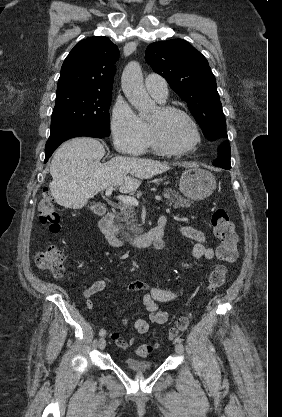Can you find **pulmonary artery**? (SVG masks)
Listing matches in <instances>:
<instances>
[{
    "label": "pulmonary artery",
    "instance_id": "obj_1",
    "mask_svg": "<svg viewBox=\"0 0 282 417\" xmlns=\"http://www.w3.org/2000/svg\"><path fill=\"white\" fill-rule=\"evenodd\" d=\"M147 91L158 101L163 102L168 96L167 82L163 77L151 74L145 78Z\"/></svg>",
    "mask_w": 282,
    "mask_h": 417
}]
</instances>
